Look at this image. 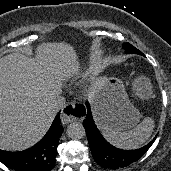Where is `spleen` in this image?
<instances>
[{
  "instance_id": "1",
  "label": "spleen",
  "mask_w": 171,
  "mask_h": 171,
  "mask_svg": "<svg viewBox=\"0 0 171 171\" xmlns=\"http://www.w3.org/2000/svg\"><path fill=\"white\" fill-rule=\"evenodd\" d=\"M98 125L107 141L123 149H137L142 146L152 135L155 126L151 117H146L134 129L123 132L99 121Z\"/></svg>"
}]
</instances>
